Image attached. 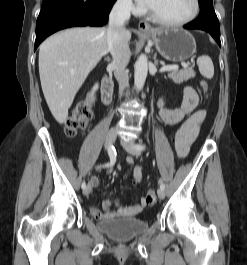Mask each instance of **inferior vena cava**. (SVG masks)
Masks as SVG:
<instances>
[{"instance_id":"1","label":"inferior vena cava","mask_w":247,"mask_h":265,"mask_svg":"<svg viewBox=\"0 0 247 265\" xmlns=\"http://www.w3.org/2000/svg\"><path fill=\"white\" fill-rule=\"evenodd\" d=\"M131 8L132 0H117L110 12L107 29V49L113 57L111 66L119 83L120 95L129 81L126 66L130 59V49L124 25L130 18Z\"/></svg>"}]
</instances>
